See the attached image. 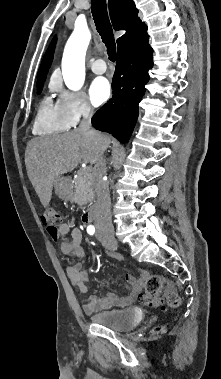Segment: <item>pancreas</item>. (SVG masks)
I'll use <instances>...</instances> for the list:
<instances>
[{"label": "pancreas", "mask_w": 221, "mask_h": 379, "mask_svg": "<svg viewBox=\"0 0 221 379\" xmlns=\"http://www.w3.org/2000/svg\"><path fill=\"white\" fill-rule=\"evenodd\" d=\"M73 184L75 201L87 203L94 200L92 175L89 171L86 173H83V170L78 171Z\"/></svg>", "instance_id": "pancreas-1"}]
</instances>
